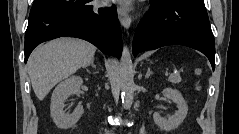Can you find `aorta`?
I'll return each mask as SVG.
<instances>
[{
  "instance_id": "obj_1",
  "label": "aorta",
  "mask_w": 239,
  "mask_h": 134,
  "mask_svg": "<svg viewBox=\"0 0 239 134\" xmlns=\"http://www.w3.org/2000/svg\"><path fill=\"white\" fill-rule=\"evenodd\" d=\"M119 78L122 89V100L125 108H130L134 98V71L129 48L124 45L119 65Z\"/></svg>"
}]
</instances>
